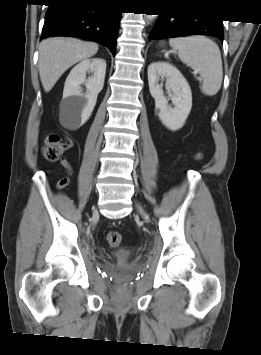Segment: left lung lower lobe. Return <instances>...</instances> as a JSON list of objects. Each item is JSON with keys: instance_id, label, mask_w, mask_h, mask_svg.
I'll list each match as a JSON object with an SVG mask.
<instances>
[{"instance_id": "left-lung-lower-lobe-1", "label": "left lung lower lobe", "mask_w": 261, "mask_h": 355, "mask_svg": "<svg viewBox=\"0 0 261 355\" xmlns=\"http://www.w3.org/2000/svg\"><path fill=\"white\" fill-rule=\"evenodd\" d=\"M149 40L154 38H174L188 35H209L223 41L222 21L211 18H191L187 16L158 15Z\"/></svg>"}]
</instances>
